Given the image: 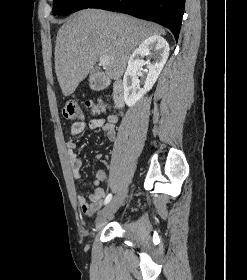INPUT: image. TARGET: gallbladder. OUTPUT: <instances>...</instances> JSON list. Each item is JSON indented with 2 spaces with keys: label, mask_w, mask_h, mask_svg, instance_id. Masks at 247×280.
Segmentation results:
<instances>
[{
  "label": "gallbladder",
  "mask_w": 247,
  "mask_h": 280,
  "mask_svg": "<svg viewBox=\"0 0 247 280\" xmlns=\"http://www.w3.org/2000/svg\"><path fill=\"white\" fill-rule=\"evenodd\" d=\"M94 73H95V70H92V71H91V74H94Z\"/></svg>",
  "instance_id": "gallbladder-1"
}]
</instances>
